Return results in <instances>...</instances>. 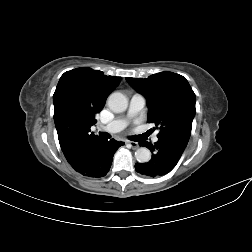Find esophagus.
I'll use <instances>...</instances> for the list:
<instances>
[{"mask_svg": "<svg viewBox=\"0 0 252 252\" xmlns=\"http://www.w3.org/2000/svg\"><path fill=\"white\" fill-rule=\"evenodd\" d=\"M128 144L133 148V149H136L138 148V143L137 142H134V141H128Z\"/></svg>", "mask_w": 252, "mask_h": 252, "instance_id": "esophagus-1", "label": "esophagus"}]
</instances>
